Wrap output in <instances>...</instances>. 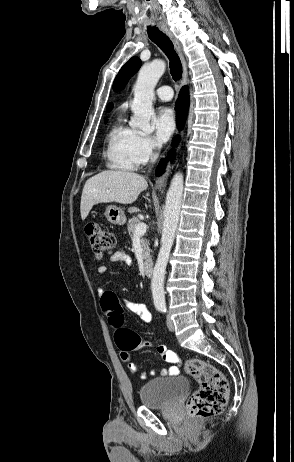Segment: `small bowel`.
I'll use <instances>...</instances> for the list:
<instances>
[{
	"label": "small bowel",
	"mask_w": 294,
	"mask_h": 462,
	"mask_svg": "<svg viewBox=\"0 0 294 462\" xmlns=\"http://www.w3.org/2000/svg\"><path fill=\"white\" fill-rule=\"evenodd\" d=\"M110 260L113 262H121L127 266L132 265L131 257L128 254H126L124 251L116 252L115 254L111 256ZM97 271L99 274L104 275L107 273V268L104 265H100L98 266ZM98 293L101 295L104 293V290L100 288L98 289ZM125 305L128 308V310L136 314L143 323H149L151 321L152 319L151 312L149 311L148 307L145 304L133 302V301H126ZM157 352L162 356L165 362L171 364L168 369H162L160 371V374L161 375H172V376L178 375L180 373V359L177 356V354L174 351L169 350L165 345H159L157 347ZM121 359L125 363H127V367L130 373L134 375H140L142 377L145 376L144 373L140 372L138 366L131 362L130 353L121 352ZM151 373H154V372L152 371Z\"/></svg>",
	"instance_id": "obj_1"
}]
</instances>
